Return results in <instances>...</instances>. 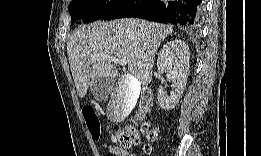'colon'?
Masks as SVG:
<instances>
[{"instance_id": "1", "label": "colon", "mask_w": 261, "mask_h": 156, "mask_svg": "<svg viewBox=\"0 0 261 156\" xmlns=\"http://www.w3.org/2000/svg\"><path fill=\"white\" fill-rule=\"evenodd\" d=\"M83 114L91 135L98 139L102 135V127L95 110L86 108ZM140 132L146 134L150 142L156 141L159 137L158 128L151 126L148 120L144 118L139 124L116 133L112 138L118 145L128 149L138 143ZM145 150L147 153H150L152 151L151 145H147Z\"/></svg>"}]
</instances>
